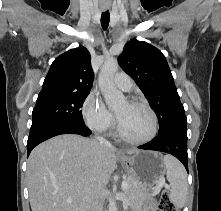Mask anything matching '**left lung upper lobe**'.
Returning <instances> with one entry per match:
<instances>
[{
    "instance_id": "1",
    "label": "left lung upper lobe",
    "mask_w": 221,
    "mask_h": 211,
    "mask_svg": "<svg viewBox=\"0 0 221 211\" xmlns=\"http://www.w3.org/2000/svg\"><path fill=\"white\" fill-rule=\"evenodd\" d=\"M120 66L142 90L159 120V134L186 127L187 119L165 56L147 42L129 41L118 58Z\"/></svg>"
}]
</instances>
